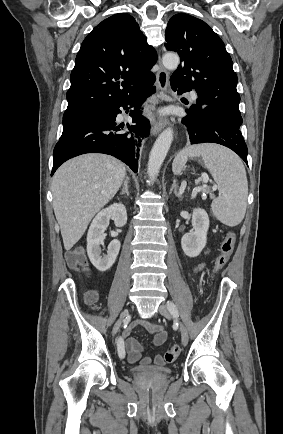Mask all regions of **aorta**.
I'll return each mask as SVG.
<instances>
[{
    "label": "aorta",
    "mask_w": 283,
    "mask_h": 434,
    "mask_svg": "<svg viewBox=\"0 0 283 434\" xmlns=\"http://www.w3.org/2000/svg\"><path fill=\"white\" fill-rule=\"evenodd\" d=\"M162 62L166 69L175 70L179 65L180 59L175 53H167L163 56ZM172 141L173 130L171 128L165 129L156 139L149 155L147 167L150 179L154 180L157 177Z\"/></svg>",
    "instance_id": "aorta-1"
}]
</instances>
